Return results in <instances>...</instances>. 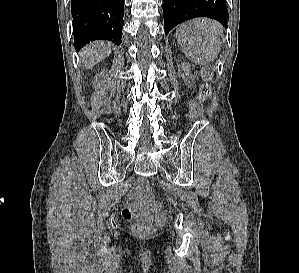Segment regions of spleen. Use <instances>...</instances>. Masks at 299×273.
Instances as JSON below:
<instances>
[{"label":"spleen","instance_id":"obj_1","mask_svg":"<svg viewBox=\"0 0 299 273\" xmlns=\"http://www.w3.org/2000/svg\"><path fill=\"white\" fill-rule=\"evenodd\" d=\"M176 38L185 56L196 65H207L219 54L224 38L220 23L198 18L176 28Z\"/></svg>","mask_w":299,"mask_h":273}]
</instances>
